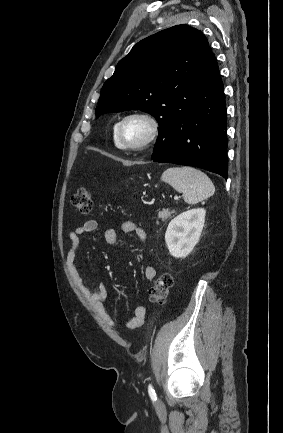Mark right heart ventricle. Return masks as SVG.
Segmentation results:
<instances>
[{"mask_svg":"<svg viewBox=\"0 0 283 433\" xmlns=\"http://www.w3.org/2000/svg\"><path fill=\"white\" fill-rule=\"evenodd\" d=\"M117 123H118V121L114 124V126H113V133H114V130H115V127H116V125H117ZM115 140V139H114Z\"/></svg>","mask_w":283,"mask_h":433,"instance_id":"obj_1","label":"right heart ventricle"}]
</instances>
